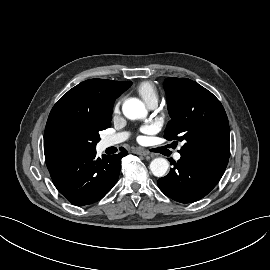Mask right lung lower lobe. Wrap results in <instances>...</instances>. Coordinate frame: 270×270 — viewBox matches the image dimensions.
<instances>
[{"mask_svg": "<svg viewBox=\"0 0 270 270\" xmlns=\"http://www.w3.org/2000/svg\"><path fill=\"white\" fill-rule=\"evenodd\" d=\"M127 155L122 148L116 155L96 158V150L74 155H52L46 165L55 187L72 204H92L107 194L115 185L121 159Z\"/></svg>", "mask_w": 270, "mask_h": 270, "instance_id": "98d812e1", "label": "right lung lower lobe"}]
</instances>
